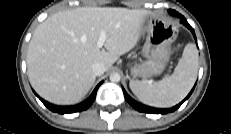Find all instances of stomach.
Returning <instances> with one entry per match:
<instances>
[{"label": "stomach", "instance_id": "1", "mask_svg": "<svg viewBox=\"0 0 231 134\" xmlns=\"http://www.w3.org/2000/svg\"><path fill=\"white\" fill-rule=\"evenodd\" d=\"M141 35L145 37L142 56L146 59L130 68L134 78H147L161 74L170 59L171 44L178 30L171 22L148 14L143 20Z\"/></svg>", "mask_w": 231, "mask_h": 134}]
</instances>
